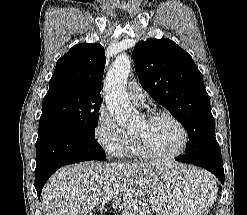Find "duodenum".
Instances as JSON below:
<instances>
[{
    "mask_svg": "<svg viewBox=\"0 0 247 215\" xmlns=\"http://www.w3.org/2000/svg\"><path fill=\"white\" fill-rule=\"evenodd\" d=\"M106 215H115V213H107Z\"/></svg>",
    "mask_w": 247,
    "mask_h": 215,
    "instance_id": "obj_1",
    "label": "duodenum"
}]
</instances>
